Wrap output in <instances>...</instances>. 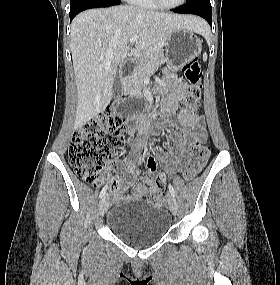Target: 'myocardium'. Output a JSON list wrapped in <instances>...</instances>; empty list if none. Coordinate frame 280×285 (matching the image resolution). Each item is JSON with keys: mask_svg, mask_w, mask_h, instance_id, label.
Listing matches in <instances>:
<instances>
[{"mask_svg": "<svg viewBox=\"0 0 280 285\" xmlns=\"http://www.w3.org/2000/svg\"><path fill=\"white\" fill-rule=\"evenodd\" d=\"M152 2L156 5V7H159L161 9L173 10L181 7L186 2V0H179L178 3L173 5H165L160 0H152Z\"/></svg>", "mask_w": 280, "mask_h": 285, "instance_id": "obj_1", "label": "myocardium"}]
</instances>
